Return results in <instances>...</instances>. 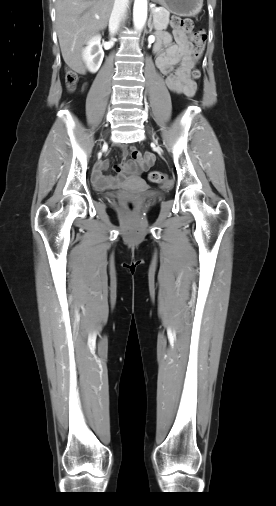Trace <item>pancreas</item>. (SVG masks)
Returning a JSON list of instances; mask_svg holds the SVG:
<instances>
[{"mask_svg": "<svg viewBox=\"0 0 276 506\" xmlns=\"http://www.w3.org/2000/svg\"><path fill=\"white\" fill-rule=\"evenodd\" d=\"M170 13L165 8H160L159 11L153 12L154 27L157 31L167 28L169 24Z\"/></svg>", "mask_w": 276, "mask_h": 506, "instance_id": "cf45deb5", "label": "pancreas"}]
</instances>
